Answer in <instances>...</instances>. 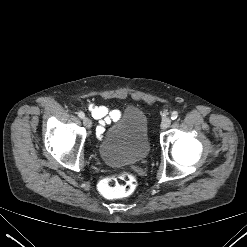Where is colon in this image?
Instances as JSON below:
<instances>
[{"instance_id": "1", "label": "colon", "mask_w": 247, "mask_h": 247, "mask_svg": "<svg viewBox=\"0 0 247 247\" xmlns=\"http://www.w3.org/2000/svg\"><path fill=\"white\" fill-rule=\"evenodd\" d=\"M136 186V177L131 173L123 172L104 179L100 189L105 197L113 199L130 195Z\"/></svg>"}]
</instances>
